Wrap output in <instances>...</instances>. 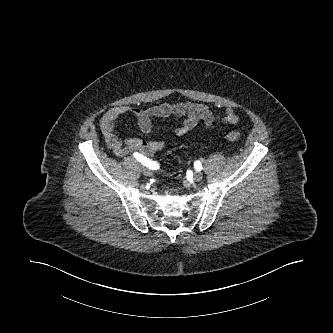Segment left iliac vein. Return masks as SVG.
<instances>
[{
  "mask_svg": "<svg viewBox=\"0 0 333 333\" xmlns=\"http://www.w3.org/2000/svg\"><path fill=\"white\" fill-rule=\"evenodd\" d=\"M203 178V174L200 171H194L193 173V179L197 182L201 181Z\"/></svg>",
  "mask_w": 333,
  "mask_h": 333,
  "instance_id": "obj_1",
  "label": "left iliac vein"
}]
</instances>
